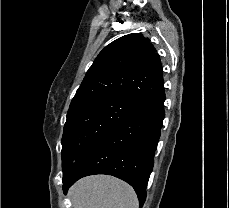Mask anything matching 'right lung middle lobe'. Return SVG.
Masks as SVG:
<instances>
[{
	"mask_svg": "<svg viewBox=\"0 0 229 208\" xmlns=\"http://www.w3.org/2000/svg\"><path fill=\"white\" fill-rule=\"evenodd\" d=\"M144 105L134 99L107 95L70 108L62 137L63 175L76 164L84 151Z\"/></svg>",
	"mask_w": 229,
	"mask_h": 208,
	"instance_id": "1",
	"label": "right lung middle lobe"
}]
</instances>
